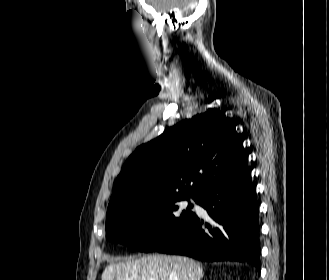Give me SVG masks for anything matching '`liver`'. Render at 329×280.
Returning a JSON list of instances; mask_svg holds the SVG:
<instances>
[{"instance_id": "1", "label": "liver", "mask_w": 329, "mask_h": 280, "mask_svg": "<svg viewBox=\"0 0 329 280\" xmlns=\"http://www.w3.org/2000/svg\"><path fill=\"white\" fill-rule=\"evenodd\" d=\"M203 267L183 256L148 255L110 263L101 280H201Z\"/></svg>"}]
</instances>
